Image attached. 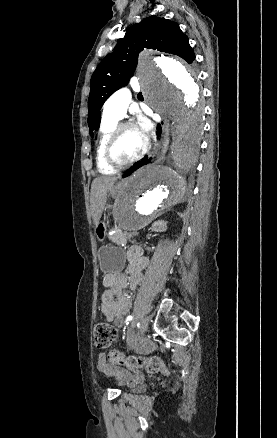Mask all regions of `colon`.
Masks as SVG:
<instances>
[{"label":"colon","mask_w":277,"mask_h":438,"mask_svg":"<svg viewBox=\"0 0 277 438\" xmlns=\"http://www.w3.org/2000/svg\"><path fill=\"white\" fill-rule=\"evenodd\" d=\"M94 345L100 351L108 350L117 337V330L114 325L107 321H97L93 326ZM107 361L126 366L131 369L145 367L149 373H162L170 375L169 368L159 357L151 356H126L120 352L109 353Z\"/></svg>","instance_id":"5ec220e1"}]
</instances>
